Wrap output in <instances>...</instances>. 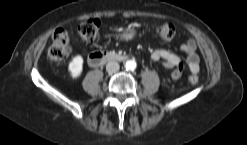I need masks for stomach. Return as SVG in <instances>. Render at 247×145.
Instances as JSON below:
<instances>
[{"mask_svg": "<svg viewBox=\"0 0 247 145\" xmlns=\"http://www.w3.org/2000/svg\"><path fill=\"white\" fill-rule=\"evenodd\" d=\"M136 36V30L132 26L124 28L120 34L122 40H132Z\"/></svg>", "mask_w": 247, "mask_h": 145, "instance_id": "obj_1", "label": "stomach"}]
</instances>
